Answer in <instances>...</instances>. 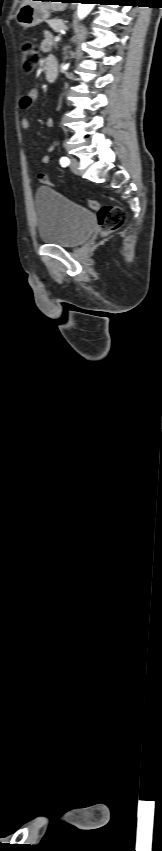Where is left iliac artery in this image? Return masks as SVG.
Masks as SVG:
<instances>
[{
    "mask_svg": "<svg viewBox=\"0 0 162 851\" xmlns=\"http://www.w3.org/2000/svg\"><path fill=\"white\" fill-rule=\"evenodd\" d=\"M69 163H70V160H69L67 157H62V158L60 159V164H61L63 167L68 166V165H69Z\"/></svg>",
    "mask_w": 162,
    "mask_h": 851,
    "instance_id": "left-iliac-artery-1",
    "label": "left iliac artery"
}]
</instances>
